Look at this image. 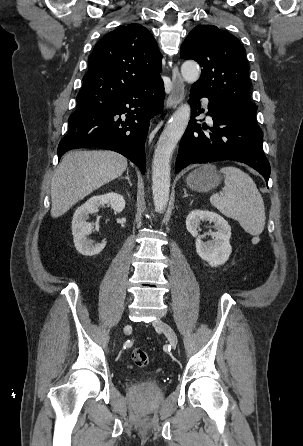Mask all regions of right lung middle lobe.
<instances>
[{
	"label": "right lung middle lobe",
	"instance_id": "dd1d6c3e",
	"mask_svg": "<svg viewBox=\"0 0 303 446\" xmlns=\"http://www.w3.org/2000/svg\"><path fill=\"white\" fill-rule=\"evenodd\" d=\"M82 106H84L83 100L77 98V107H82Z\"/></svg>",
	"mask_w": 303,
	"mask_h": 446
}]
</instances>
